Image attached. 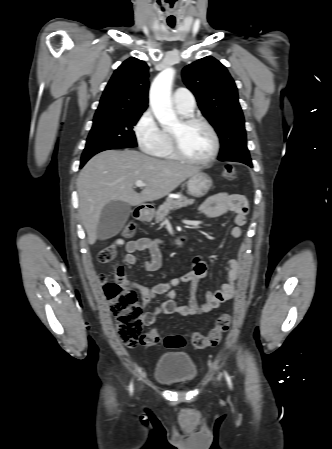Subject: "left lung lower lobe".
<instances>
[{
  "mask_svg": "<svg viewBox=\"0 0 332 449\" xmlns=\"http://www.w3.org/2000/svg\"><path fill=\"white\" fill-rule=\"evenodd\" d=\"M247 165H249L250 167H252V162H248Z\"/></svg>",
  "mask_w": 332,
  "mask_h": 449,
  "instance_id": "obj_1",
  "label": "left lung lower lobe"
}]
</instances>
